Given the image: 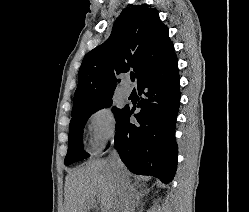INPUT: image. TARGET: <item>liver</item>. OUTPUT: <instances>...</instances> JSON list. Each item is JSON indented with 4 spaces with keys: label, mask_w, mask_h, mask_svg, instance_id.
Wrapping results in <instances>:
<instances>
[{
    "label": "liver",
    "mask_w": 249,
    "mask_h": 212,
    "mask_svg": "<svg viewBox=\"0 0 249 212\" xmlns=\"http://www.w3.org/2000/svg\"><path fill=\"white\" fill-rule=\"evenodd\" d=\"M127 174L130 176L128 170ZM115 180L116 170L108 160H94L70 170L65 182L66 212H90L96 208V200L102 212H119Z\"/></svg>",
    "instance_id": "6515ba94"
}]
</instances>
